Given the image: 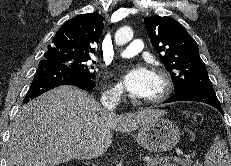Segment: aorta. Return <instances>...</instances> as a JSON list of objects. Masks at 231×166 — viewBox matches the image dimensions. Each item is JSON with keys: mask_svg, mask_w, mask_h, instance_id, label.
Wrapping results in <instances>:
<instances>
[{"mask_svg": "<svg viewBox=\"0 0 231 166\" xmlns=\"http://www.w3.org/2000/svg\"><path fill=\"white\" fill-rule=\"evenodd\" d=\"M133 38V30L128 27L120 28L115 34V43L118 46H122L128 43Z\"/></svg>", "mask_w": 231, "mask_h": 166, "instance_id": "aorta-1", "label": "aorta"}]
</instances>
